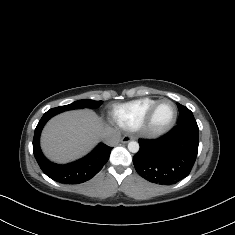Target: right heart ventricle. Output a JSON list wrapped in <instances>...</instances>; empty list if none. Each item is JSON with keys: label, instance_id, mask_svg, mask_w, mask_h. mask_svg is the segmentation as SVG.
Wrapping results in <instances>:
<instances>
[{"label": "right heart ventricle", "instance_id": "e07e8e85", "mask_svg": "<svg viewBox=\"0 0 235 235\" xmlns=\"http://www.w3.org/2000/svg\"><path fill=\"white\" fill-rule=\"evenodd\" d=\"M157 99L151 97L132 100L113 106L108 114L112 121L126 130H135L142 124Z\"/></svg>", "mask_w": 235, "mask_h": 235}]
</instances>
